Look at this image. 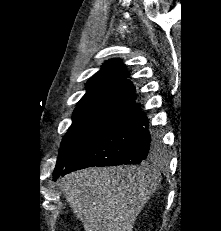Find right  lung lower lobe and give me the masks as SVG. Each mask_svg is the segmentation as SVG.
<instances>
[{
	"mask_svg": "<svg viewBox=\"0 0 221 231\" xmlns=\"http://www.w3.org/2000/svg\"><path fill=\"white\" fill-rule=\"evenodd\" d=\"M161 151L160 138L148 130L140 104L133 102L116 114L68 164L56 169L53 180L91 166L139 164L154 160Z\"/></svg>",
	"mask_w": 221,
	"mask_h": 231,
	"instance_id": "1",
	"label": "right lung lower lobe"
}]
</instances>
